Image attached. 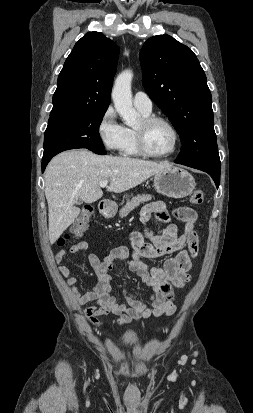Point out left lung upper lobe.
<instances>
[{"label":"left lung upper lobe","mask_w":253,"mask_h":413,"mask_svg":"<svg viewBox=\"0 0 253 413\" xmlns=\"http://www.w3.org/2000/svg\"><path fill=\"white\" fill-rule=\"evenodd\" d=\"M140 62L145 90L180 135L176 161L221 165L211 93L193 51L167 34L158 35L144 43Z\"/></svg>","instance_id":"obj_1"}]
</instances>
